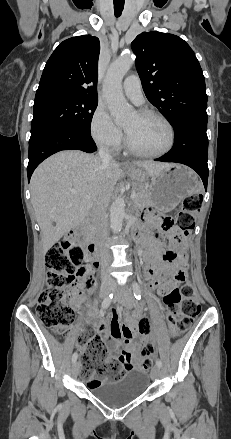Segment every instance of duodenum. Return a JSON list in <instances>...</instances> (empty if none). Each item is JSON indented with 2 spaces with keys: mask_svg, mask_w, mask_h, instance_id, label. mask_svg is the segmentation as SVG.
<instances>
[{
  "mask_svg": "<svg viewBox=\"0 0 231 439\" xmlns=\"http://www.w3.org/2000/svg\"><path fill=\"white\" fill-rule=\"evenodd\" d=\"M138 239L141 240L142 242L146 243L144 238H142L141 236H138ZM87 249L93 255V257L95 259L99 258V254H98V250H97V245H96V240L95 239H91L90 240L89 244L87 245ZM146 268L148 270L150 268V266L147 264Z\"/></svg>",
  "mask_w": 231,
  "mask_h": 439,
  "instance_id": "duodenum-1",
  "label": "duodenum"
}]
</instances>
